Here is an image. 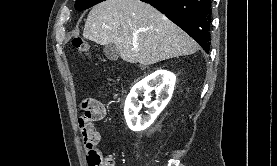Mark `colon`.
Returning a JSON list of instances; mask_svg holds the SVG:
<instances>
[{
	"instance_id": "5ec220e1",
	"label": "colon",
	"mask_w": 277,
	"mask_h": 166,
	"mask_svg": "<svg viewBox=\"0 0 277 166\" xmlns=\"http://www.w3.org/2000/svg\"><path fill=\"white\" fill-rule=\"evenodd\" d=\"M73 46L83 56L89 57L91 54V48L89 43L82 38H75L73 40ZM81 131L86 140L93 144L97 137V132L91 122V114L88 111L85 116L81 117ZM90 166H114V160L109 155H103L98 150L94 151L90 156Z\"/></svg>"
}]
</instances>
